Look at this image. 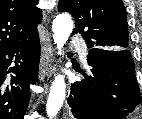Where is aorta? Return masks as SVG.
I'll list each match as a JSON object with an SVG mask.
<instances>
[{"label":"aorta","mask_w":142,"mask_h":119,"mask_svg":"<svg viewBox=\"0 0 142 119\" xmlns=\"http://www.w3.org/2000/svg\"><path fill=\"white\" fill-rule=\"evenodd\" d=\"M73 30V21L68 14H59L53 21L52 31L54 43L57 45L58 54L61 55L62 48ZM66 84L63 75H57L52 82L48 96L46 111L49 119H54L65 99Z\"/></svg>","instance_id":"aorta-1"}]
</instances>
